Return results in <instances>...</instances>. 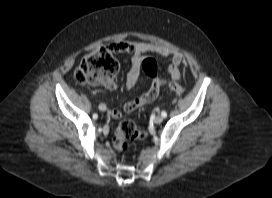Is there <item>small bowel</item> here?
Returning <instances> with one entry per match:
<instances>
[{
	"label": "small bowel",
	"instance_id": "small-bowel-1",
	"mask_svg": "<svg viewBox=\"0 0 272 198\" xmlns=\"http://www.w3.org/2000/svg\"><path fill=\"white\" fill-rule=\"evenodd\" d=\"M114 52L131 54L130 69L126 76L125 89H132L140 75L141 64L146 53H153L162 57H167L170 60L168 67V77L172 80H179L182 76L181 67L184 58L180 53L173 52L170 49L155 43L140 42V41H118L111 45ZM151 78V85L147 92L130 100L123 107L124 113H130L140 106L152 102L157 96L160 89L166 84L167 78L160 77L158 73L148 75ZM104 86L109 90L116 89V82L109 80L104 83ZM122 116V112L118 109H111L109 117L118 119Z\"/></svg>",
	"mask_w": 272,
	"mask_h": 198
}]
</instances>
